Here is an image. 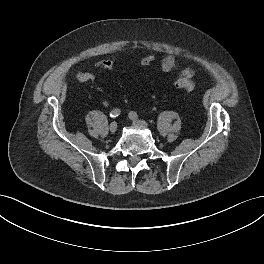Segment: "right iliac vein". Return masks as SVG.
<instances>
[{
	"label": "right iliac vein",
	"instance_id": "obj_1",
	"mask_svg": "<svg viewBox=\"0 0 264 264\" xmlns=\"http://www.w3.org/2000/svg\"><path fill=\"white\" fill-rule=\"evenodd\" d=\"M117 127H118V126H117V123H116V122H112V123L110 124V126H109L110 132H111V133L116 132Z\"/></svg>",
	"mask_w": 264,
	"mask_h": 264
}]
</instances>
